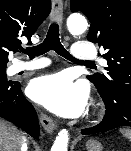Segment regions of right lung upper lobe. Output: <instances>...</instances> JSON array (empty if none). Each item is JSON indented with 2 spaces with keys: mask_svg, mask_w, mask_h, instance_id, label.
Wrapping results in <instances>:
<instances>
[{
  "mask_svg": "<svg viewBox=\"0 0 131 151\" xmlns=\"http://www.w3.org/2000/svg\"><path fill=\"white\" fill-rule=\"evenodd\" d=\"M50 10V0H0V63L22 49L20 37L30 41Z\"/></svg>",
  "mask_w": 131,
  "mask_h": 151,
  "instance_id": "right-lung-upper-lobe-1",
  "label": "right lung upper lobe"
}]
</instances>
